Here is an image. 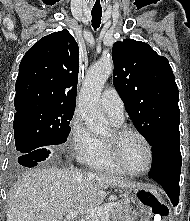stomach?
<instances>
[{
	"label": "stomach",
	"instance_id": "obj_1",
	"mask_svg": "<svg viewBox=\"0 0 190 221\" xmlns=\"http://www.w3.org/2000/svg\"><path fill=\"white\" fill-rule=\"evenodd\" d=\"M132 198L129 200L128 212L130 217L147 218H125V221H169L170 212L168 206L163 202L157 189L148 184H137L131 188ZM162 217V218H151Z\"/></svg>",
	"mask_w": 190,
	"mask_h": 221
}]
</instances>
